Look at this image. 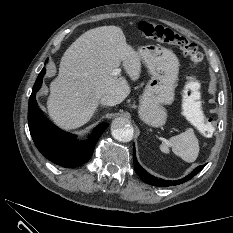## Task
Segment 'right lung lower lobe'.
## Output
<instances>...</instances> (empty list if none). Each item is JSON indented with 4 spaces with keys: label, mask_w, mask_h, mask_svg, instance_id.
Returning <instances> with one entry per match:
<instances>
[{
    "label": "right lung lower lobe",
    "mask_w": 233,
    "mask_h": 233,
    "mask_svg": "<svg viewBox=\"0 0 233 233\" xmlns=\"http://www.w3.org/2000/svg\"><path fill=\"white\" fill-rule=\"evenodd\" d=\"M45 68L42 69L33 86L29 99L28 124L30 134L38 150L51 162L74 168L89 160L93 154L95 144L108 124L97 126L88 140L78 141L74 135L68 134L53 126L39 109L35 95L42 85Z\"/></svg>",
    "instance_id": "98d812e1"
}]
</instances>
